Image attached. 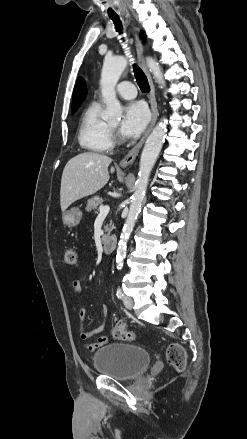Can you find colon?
Here are the masks:
<instances>
[{
	"label": "colon",
	"mask_w": 247,
	"mask_h": 439,
	"mask_svg": "<svg viewBox=\"0 0 247 439\" xmlns=\"http://www.w3.org/2000/svg\"><path fill=\"white\" fill-rule=\"evenodd\" d=\"M64 260L69 266L77 265L76 252L72 249H67L64 254ZM112 334L118 340L130 341L135 339V333L128 328L124 321L116 322ZM166 358L174 369L177 371L184 370L186 366V351L180 344H170L166 351Z\"/></svg>",
	"instance_id": "5ec220e1"
}]
</instances>
